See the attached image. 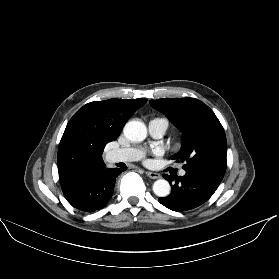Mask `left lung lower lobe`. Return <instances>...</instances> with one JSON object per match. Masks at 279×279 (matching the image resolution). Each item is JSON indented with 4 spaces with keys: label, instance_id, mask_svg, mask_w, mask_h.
I'll return each mask as SVG.
<instances>
[{
    "label": "left lung lower lobe",
    "instance_id": "1",
    "mask_svg": "<svg viewBox=\"0 0 279 279\" xmlns=\"http://www.w3.org/2000/svg\"><path fill=\"white\" fill-rule=\"evenodd\" d=\"M163 177L171 184V193L159 202L165 207L181 212L194 209L206 202L216 191L220 183H217L206 175L186 171L184 176L164 174Z\"/></svg>",
    "mask_w": 279,
    "mask_h": 279
}]
</instances>
